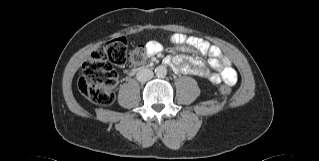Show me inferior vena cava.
Here are the masks:
<instances>
[{"mask_svg": "<svg viewBox=\"0 0 319 161\" xmlns=\"http://www.w3.org/2000/svg\"><path fill=\"white\" fill-rule=\"evenodd\" d=\"M153 77V71L147 68H142L137 72L136 78L140 82H146Z\"/></svg>", "mask_w": 319, "mask_h": 161, "instance_id": "602c4592", "label": "inferior vena cava"}]
</instances>
